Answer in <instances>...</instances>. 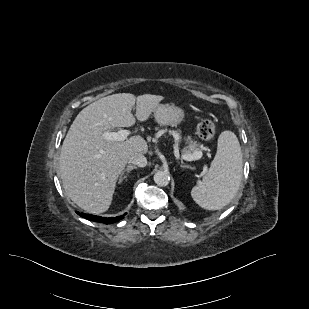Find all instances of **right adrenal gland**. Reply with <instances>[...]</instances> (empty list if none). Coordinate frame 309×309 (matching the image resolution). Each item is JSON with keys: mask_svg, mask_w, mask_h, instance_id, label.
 Returning <instances> with one entry per match:
<instances>
[{"mask_svg": "<svg viewBox=\"0 0 309 309\" xmlns=\"http://www.w3.org/2000/svg\"><path fill=\"white\" fill-rule=\"evenodd\" d=\"M136 166H133L131 164L127 165V167L121 172L120 177H119V183L127 177L128 173L133 170L136 169ZM126 173V174H125Z\"/></svg>", "mask_w": 309, "mask_h": 309, "instance_id": "right-adrenal-gland-1", "label": "right adrenal gland"}]
</instances>
